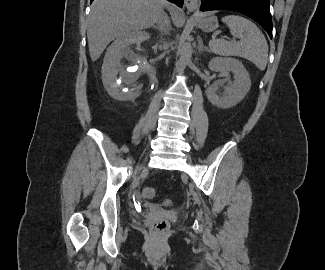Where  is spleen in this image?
Segmentation results:
<instances>
[{"mask_svg":"<svg viewBox=\"0 0 325 270\" xmlns=\"http://www.w3.org/2000/svg\"><path fill=\"white\" fill-rule=\"evenodd\" d=\"M230 29V33L239 39L228 42L214 39L209 42L210 50L221 56H238L254 63L261 71L265 70L268 61V44L262 31L250 20L239 15H228L222 18Z\"/></svg>","mask_w":325,"mask_h":270,"instance_id":"spleen-1","label":"spleen"}]
</instances>
